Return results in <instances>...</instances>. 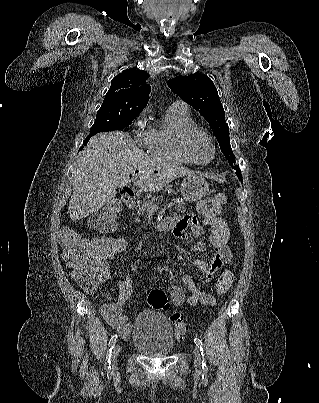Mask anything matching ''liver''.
I'll return each instance as SVG.
<instances>
[{
	"label": "liver",
	"mask_w": 319,
	"mask_h": 403,
	"mask_svg": "<svg viewBox=\"0 0 319 403\" xmlns=\"http://www.w3.org/2000/svg\"><path fill=\"white\" fill-rule=\"evenodd\" d=\"M135 171L140 172V179L134 186L150 192L161 190L176 178L194 175L184 167L150 158L126 132L99 133L77 158L69 217L86 218L114 200L117 188L127 185Z\"/></svg>",
	"instance_id": "liver-1"
}]
</instances>
